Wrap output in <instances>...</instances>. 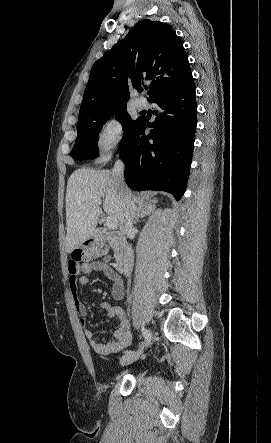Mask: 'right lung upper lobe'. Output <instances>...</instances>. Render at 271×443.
Listing matches in <instances>:
<instances>
[{
    "label": "right lung upper lobe",
    "mask_w": 271,
    "mask_h": 443,
    "mask_svg": "<svg viewBox=\"0 0 271 443\" xmlns=\"http://www.w3.org/2000/svg\"><path fill=\"white\" fill-rule=\"evenodd\" d=\"M192 78L183 44L171 26L144 19L93 65L79 119L103 116L126 106L129 88L139 89L143 80H152L150 101L161 91Z\"/></svg>",
    "instance_id": "right-lung-upper-lobe-1"
}]
</instances>
